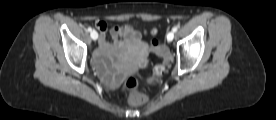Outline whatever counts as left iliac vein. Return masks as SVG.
<instances>
[{
	"instance_id": "left-iliac-vein-1",
	"label": "left iliac vein",
	"mask_w": 276,
	"mask_h": 120,
	"mask_svg": "<svg viewBox=\"0 0 276 120\" xmlns=\"http://www.w3.org/2000/svg\"><path fill=\"white\" fill-rule=\"evenodd\" d=\"M173 38H174V33H173V32H169V33L167 34V40H168V41H172Z\"/></svg>"
}]
</instances>
